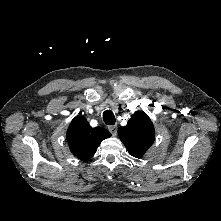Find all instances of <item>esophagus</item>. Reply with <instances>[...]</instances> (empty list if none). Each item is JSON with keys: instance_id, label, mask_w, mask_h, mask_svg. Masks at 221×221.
<instances>
[{"instance_id": "esophagus-1", "label": "esophagus", "mask_w": 221, "mask_h": 221, "mask_svg": "<svg viewBox=\"0 0 221 221\" xmlns=\"http://www.w3.org/2000/svg\"><path fill=\"white\" fill-rule=\"evenodd\" d=\"M108 129L113 136H115L117 134V126L116 125L109 126Z\"/></svg>"}]
</instances>
